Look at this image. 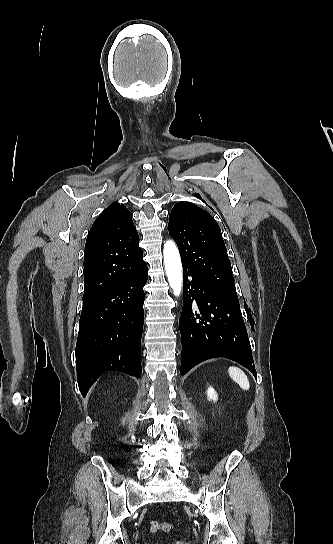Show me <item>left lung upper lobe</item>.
Wrapping results in <instances>:
<instances>
[{
    "label": "left lung upper lobe",
    "instance_id": "5c2ea615",
    "mask_svg": "<svg viewBox=\"0 0 333 544\" xmlns=\"http://www.w3.org/2000/svg\"><path fill=\"white\" fill-rule=\"evenodd\" d=\"M169 218V233L178 245L182 265L239 305L231 263L215 219L189 202L177 203Z\"/></svg>",
    "mask_w": 333,
    "mask_h": 544
}]
</instances>
